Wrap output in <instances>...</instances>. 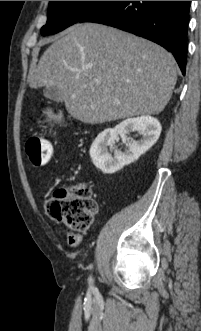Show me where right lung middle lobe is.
<instances>
[{"label": "right lung middle lobe", "instance_id": "obj_1", "mask_svg": "<svg viewBox=\"0 0 201 331\" xmlns=\"http://www.w3.org/2000/svg\"><path fill=\"white\" fill-rule=\"evenodd\" d=\"M105 1H50L48 20L41 29L42 35L60 32L79 22Z\"/></svg>", "mask_w": 201, "mask_h": 331}]
</instances>
